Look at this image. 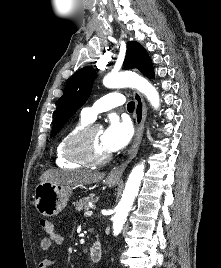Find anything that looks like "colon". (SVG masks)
<instances>
[{
	"instance_id": "5ec220e1",
	"label": "colon",
	"mask_w": 221,
	"mask_h": 268,
	"mask_svg": "<svg viewBox=\"0 0 221 268\" xmlns=\"http://www.w3.org/2000/svg\"><path fill=\"white\" fill-rule=\"evenodd\" d=\"M40 226L46 233L51 232L54 229L53 223L45 218L40 220Z\"/></svg>"
}]
</instances>
